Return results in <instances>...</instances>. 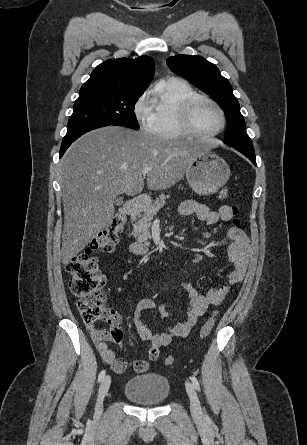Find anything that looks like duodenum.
<instances>
[{
	"mask_svg": "<svg viewBox=\"0 0 307 445\" xmlns=\"http://www.w3.org/2000/svg\"><path fill=\"white\" fill-rule=\"evenodd\" d=\"M147 197L146 196H139L134 199H131L127 201L124 205V212L130 216L134 217L136 216L142 207L146 204ZM129 249L132 253L135 254H145L149 251L148 247L142 243L134 242L129 246Z\"/></svg>",
	"mask_w": 307,
	"mask_h": 445,
	"instance_id": "duodenum-1",
	"label": "duodenum"
}]
</instances>
